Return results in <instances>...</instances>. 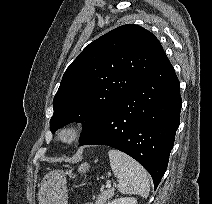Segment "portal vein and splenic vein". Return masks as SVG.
<instances>
[{
    "label": "portal vein and splenic vein",
    "instance_id": "obj_1",
    "mask_svg": "<svg viewBox=\"0 0 212 204\" xmlns=\"http://www.w3.org/2000/svg\"><path fill=\"white\" fill-rule=\"evenodd\" d=\"M106 187L107 188L111 187V183L109 181L106 183Z\"/></svg>",
    "mask_w": 212,
    "mask_h": 204
}]
</instances>
